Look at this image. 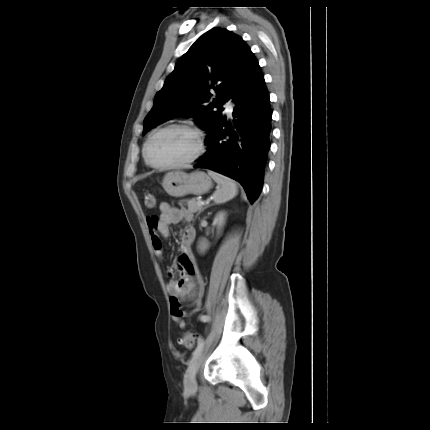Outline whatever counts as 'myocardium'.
<instances>
[{
  "mask_svg": "<svg viewBox=\"0 0 430 430\" xmlns=\"http://www.w3.org/2000/svg\"><path fill=\"white\" fill-rule=\"evenodd\" d=\"M175 128H179V129H185L188 130L192 133H194L197 137V149L195 151V153L189 157L188 159L178 162V163H173V164H166V165H162V164H157L154 161H152V159L150 158L149 155V147L150 144L152 142V140L159 135L160 133L170 130V129H175ZM206 149V139H205V135L203 133V131L198 128L197 126L190 124L188 122H175V123H170L167 124L157 130H155L152 134L149 135V137L147 138L145 145H144V150H143V154H144V158L147 162V164H149L151 167H154L156 169L159 170H170V169H177V168H182L185 166H188L194 162H196L205 152Z\"/></svg>",
  "mask_w": 430,
  "mask_h": 430,
  "instance_id": "f54148a6",
  "label": "myocardium"
}]
</instances>
